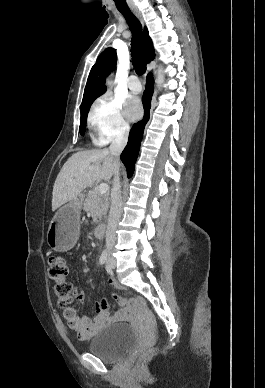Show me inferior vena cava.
I'll return each instance as SVG.
<instances>
[{
  "label": "inferior vena cava",
  "mask_w": 265,
  "mask_h": 388,
  "mask_svg": "<svg viewBox=\"0 0 265 388\" xmlns=\"http://www.w3.org/2000/svg\"><path fill=\"white\" fill-rule=\"evenodd\" d=\"M130 128H126L125 132L121 136H116L111 146H109V152L114 158H119L122 150H124L129 136ZM113 188L111 192V208L108 216V224L106 230V250L108 256H110V250H112L115 244L116 228L118 226L119 218L122 214V198H121V186L119 176V166L114 162L113 164Z\"/></svg>",
  "instance_id": "obj_1"
}]
</instances>
